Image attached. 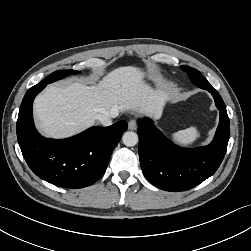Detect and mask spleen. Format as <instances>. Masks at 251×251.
Wrapping results in <instances>:
<instances>
[{
  "label": "spleen",
  "mask_w": 251,
  "mask_h": 251,
  "mask_svg": "<svg viewBox=\"0 0 251 251\" xmlns=\"http://www.w3.org/2000/svg\"><path fill=\"white\" fill-rule=\"evenodd\" d=\"M200 132L197 127H190L182 131H178L171 135V139L181 146H190L200 138Z\"/></svg>",
  "instance_id": "spleen-1"
}]
</instances>
